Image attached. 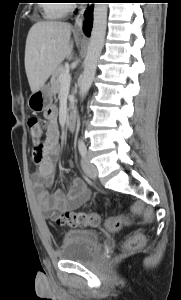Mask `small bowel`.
Instances as JSON below:
<instances>
[{"mask_svg":"<svg viewBox=\"0 0 181 300\" xmlns=\"http://www.w3.org/2000/svg\"><path fill=\"white\" fill-rule=\"evenodd\" d=\"M44 116L47 121L46 138L43 148L33 153V160L37 165V173L33 176V185L43 212L49 218L54 219L61 212L81 207L88 199L89 193L78 178L70 181L66 193L61 190H57L53 194L48 193V187L54 179L55 158L59 153L58 108L54 105L48 107Z\"/></svg>","mask_w":181,"mask_h":300,"instance_id":"1","label":"small bowel"}]
</instances>
